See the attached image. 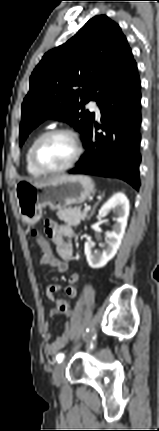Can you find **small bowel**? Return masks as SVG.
Returning <instances> with one entry per match:
<instances>
[{
	"label": "small bowel",
	"mask_w": 159,
	"mask_h": 431,
	"mask_svg": "<svg viewBox=\"0 0 159 431\" xmlns=\"http://www.w3.org/2000/svg\"><path fill=\"white\" fill-rule=\"evenodd\" d=\"M45 233L54 245L51 257H46L45 253L42 252L40 264L43 266H49L56 268L59 273H65L68 270V262L72 257V246L66 240L74 235L73 229L68 225H59L53 220H47L45 222ZM39 245V242H38ZM51 247V246H50ZM52 248V247H51ZM79 280V275L74 273L68 278L66 286L59 284H49L46 287V296L49 300L55 303V306L50 309L49 316L53 317L58 314L65 315L66 310L71 311V306L65 299L59 298L57 294L64 289L66 295L73 299L77 296V289L75 284ZM43 339L46 342L45 352L48 355H56L61 349H63L69 339V330L65 331L58 336L54 341L51 340L50 325L48 322L43 325Z\"/></svg>",
	"instance_id": "obj_1"
}]
</instances>
